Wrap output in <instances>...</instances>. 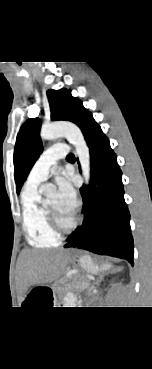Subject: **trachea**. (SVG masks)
<instances>
[{"label":"trachea","mask_w":152,"mask_h":369,"mask_svg":"<svg viewBox=\"0 0 152 369\" xmlns=\"http://www.w3.org/2000/svg\"><path fill=\"white\" fill-rule=\"evenodd\" d=\"M74 157V155L72 154V153H70L68 156H67V158H73Z\"/></svg>","instance_id":"3493384b"}]
</instances>
